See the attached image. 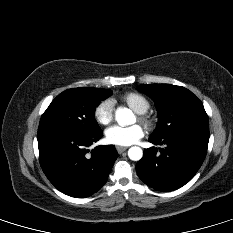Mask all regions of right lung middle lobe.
Returning <instances> with one entry per match:
<instances>
[{
  "mask_svg": "<svg viewBox=\"0 0 233 233\" xmlns=\"http://www.w3.org/2000/svg\"><path fill=\"white\" fill-rule=\"evenodd\" d=\"M112 94L100 88H72L59 94L43 113L38 131L61 128L84 133L101 131L94 118L95 108Z\"/></svg>",
  "mask_w": 233,
  "mask_h": 233,
  "instance_id": "right-lung-middle-lobe-1",
  "label": "right lung middle lobe"
}]
</instances>
